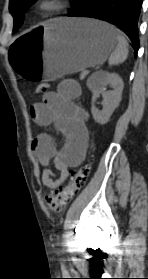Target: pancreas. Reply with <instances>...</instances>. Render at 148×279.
Wrapping results in <instances>:
<instances>
[{
    "mask_svg": "<svg viewBox=\"0 0 148 279\" xmlns=\"http://www.w3.org/2000/svg\"><path fill=\"white\" fill-rule=\"evenodd\" d=\"M85 78V75L83 74V72L80 74V79L83 80Z\"/></svg>",
    "mask_w": 148,
    "mask_h": 279,
    "instance_id": "obj_1",
    "label": "pancreas"
}]
</instances>
